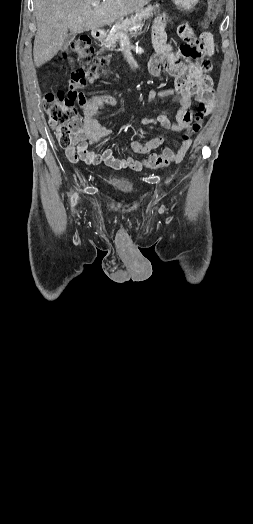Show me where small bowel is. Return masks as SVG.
Masks as SVG:
<instances>
[{"label": "small bowel", "instance_id": "obj_1", "mask_svg": "<svg viewBox=\"0 0 253 524\" xmlns=\"http://www.w3.org/2000/svg\"><path fill=\"white\" fill-rule=\"evenodd\" d=\"M201 34L202 36L199 38L197 31L192 29L189 24L180 25L177 37L181 44V54L186 62H191L184 64L167 43L165 24L162 21H157L154 24L153 45L156 53L147 64V75L161 79L168 73L176 78V89L151 90L147 99L152 101L157 97H172L179 102L181 108L177 113L175 122H172L166 114H161L156 119H143L142 125L159 123L166 129L184 131L192 120V114L189 111L192 98L195 97L200 102L211 100L213 89L212 79L209 75L211 70L209 56L215 50V45L212 43L213 37L210 28H203ZM117 102V99L111 95H97L85 103L83 107L84 124L76 134V144L65 150L69 161L73 163L84 161L88 165L106 164L116 170L130 168L134 171H140L142 169L143 162L141 159L135 160L130 156L116 157L110 146L106 147L99 155L92 147L94 143L111 135V130L100 125L96 118L102 113L106 104L116 105ZM163 142L164 137L158 135L146 142H132L131 149L134 153L143 156L159 149Z\"/></svg>", "mask_w": 253, "mask_h": 524}]
</instances>
